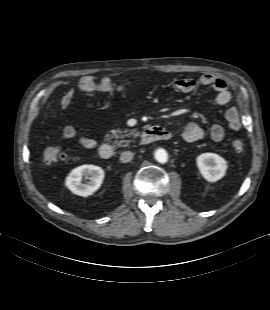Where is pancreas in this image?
<instances>
[{"instance_id":"pancreas-1","label":"pancreas","mask_w":270,"mask_h":310,"mask_svg":"<svg viewBox=\"0 0 270 310\" xmlns=\"http://www.w3.org/2000/svg\"><path fill=\"white\" fill-rule=\"evenodd\" d=\"M134 134V130L132 131H129V130H124V131H121V130H115L112 134H107L105 136V138L107 140H110V139H113V138H124L126 136H130ZM130 140H121L120 142H118V145L119 146H128Z\"/></svg>"}]
</instances>
